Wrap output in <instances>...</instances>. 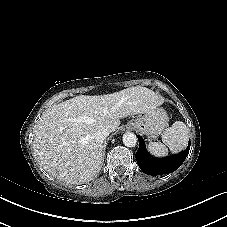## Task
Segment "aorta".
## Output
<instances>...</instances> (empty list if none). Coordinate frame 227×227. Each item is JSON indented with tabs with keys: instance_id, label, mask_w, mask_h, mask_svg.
Returning <instances> with one entry per match:
<instances>
[{
	"instance_id": "1",
	"label": "aorta",
	"mask_w": 227,
	"mask_h": 227,
	"mask_svg": "<svg viewBox=\"0 0 227 227\" xmlns=\"http://www.w3.org/2000/svg\"><path fill=\"white\" fill-rule=\"evenodd\" d=\"M123 143L127 147H134L137 143V137L132 132H127L122 137Z\"/></svg>"
}]
</instances>
